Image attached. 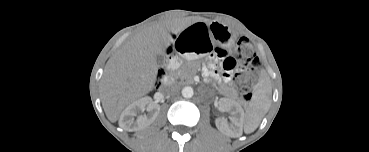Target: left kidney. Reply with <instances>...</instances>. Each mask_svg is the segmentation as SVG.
<instances>
[{"instance_id": "5707ae66", "label": "left kidney", "mask_w": 369, "mask_h": 152, "mask_svg": "<svg viewBox=\"0 0 369 152\" xmlns=\"http://www.w3.org/2000/svg\"><path fill=\"white\" fill-rule=\"evenodd\" d=\"M219 108L231 113L232 123L235 125H239V122L242 121L244 118V111L242 107L240 106V104L233 100L221 98L219 100Z\"/></svg>"}]
</instances>
